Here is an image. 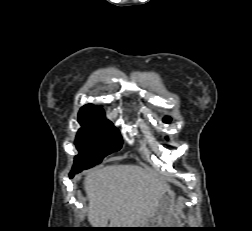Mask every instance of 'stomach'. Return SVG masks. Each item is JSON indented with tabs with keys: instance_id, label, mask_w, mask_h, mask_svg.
I'll list each match as a JSON object with an SVG mask.
<instances>
[{
	"instance_id": "0dacf381",
	"label": "stomach",
	"mask_w": 252,
	"mask_h": 231,
	"mask_svg": "<svg viewBox=\"0 0 252 231\" xmlns=\"http://www.w3.org/2000/svg\"><path fill=\"white\" fill-rule=\"evenodd\" d=\"M174 198L170 191L166 192L159 201V204L153 213V215L148 219V221L138 227L141 231H172L174 229L169 228H179L177 227L178 220L174 216L173 212ZM153 228H164V229H153Z\"/></svg>"
}]
</instances>
